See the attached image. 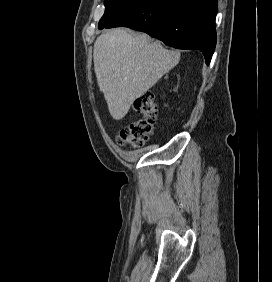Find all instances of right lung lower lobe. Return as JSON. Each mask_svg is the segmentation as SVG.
<instances>
[{"label": "right lung lower lobe", "instance_id": "obj_1", "mask_svg": "<svg viewBox=\"0 0 272 282\" xmlns=\"http://www.w3.org/2000/svg\"><path fill=\"white\" fill-rule=\"evenodd\" d=\"M217 7V0H136L103 28L129 27L177 49L200 50L209 64Z\"/></svg>", "mask_w": 272, "mask_h": 282}]
</instances>
